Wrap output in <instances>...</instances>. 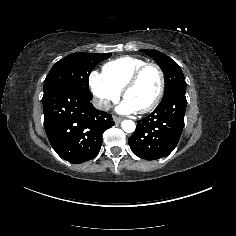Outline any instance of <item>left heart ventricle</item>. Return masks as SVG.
Here are the masks:
<instances>
[{"label":"left heart ventricle","mask_w":236,"mask_h":236,"mask_svg":"<svg viewBox=\"0 0 236 236\" xmlns=\"http://www.w3.org/2000/svg\"><path fill=\"white\" fill-rule=\"evenodd\" d=\"M159 87V75L154 68L146 69L136 82L128 90L125 99L137 110L149 105L155 98Z\"/></svg>","instance_id":"obj_1"}]
</instances>
